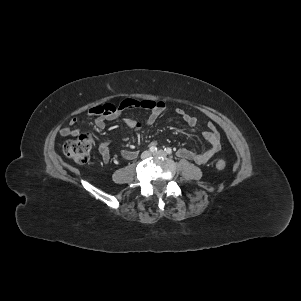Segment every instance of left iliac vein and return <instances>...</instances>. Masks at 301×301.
Returning <instances> with one entry per match:
<instances>
[{
  "mask_svg": "<svg viewBox=\"0 0 301 301\" xmlns=\"http://www.w3.org/2000/svg\"><path fill=\"white\" fill-rule=\"evenodd\" d=\"M153 155L154 156H159V157H166L167 156L166 152L163 151V150H159V151L155 152Z\"/></svg>",
  "mask_w": 301,
  "mask_h": 301,
  "instance_id": "obj_1",
  "label": "left iliac vein"
}]
</instances>
